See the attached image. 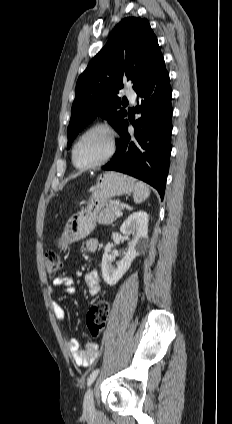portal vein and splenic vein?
Here are the masks:
<instances>
[{
	"label": "portal vein and splenic vein",
	"mask_w": 232,
	"mask_h": 424,
	"mask_svg": "<svg viewBox=\"0 0 232 424\" xmlns=\"http://www.w3.org/2000/svg\"><path fill=\"white\" fill-rule=\"evenodd\" d=\"M115 215H116L117 217H120V216H122V215H123V213H122V211H121V210H117V211L115 212Z\"/></svg>",
	"instance_id": "obj_1"
}]
</instances>
